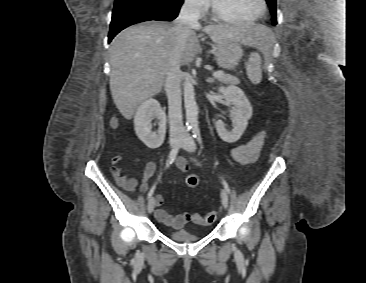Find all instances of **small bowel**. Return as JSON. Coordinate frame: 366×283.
Returning a JSON list of instances; mask_svg holds the SVG:
<instances>
[{"instance_id": "c3829d8e", "label": "small bowel", "mask_w": 366, "mask_h": 283, "mask_svg": "<svg viewBox=\"0 0 366 283\" xmlns=\"http://www.w3.org/2000/svg\"><path fill=\"white\" fill-rule=\"evenodd\" d=\"M264 141V133H257L252 139L244 144H240L234 147L230 156L231 159L239 165H249L254 163L260 153ZM122 157L120 155H116L112 158L113 166L111 167V174L114 177L117 184L127 192H132L136 188L138 184V179L133 176H129L127 174H122L121 168L118 166V163L121 161ZM138 161V159H136ZM192 162H197L195 159H191ZM177 168L181 171H186L189 166V160L184 157H178L175 161ZM156 171V164L153 161H149L145 164L142 175L143 180L140 185V189L142 191H146L148 189V180L152 178ZM164 203V199L162 196H157L156 198V206L158 207L155 211V216L158 221L162 222L168 227H172L174 229H179L188 220L186 214L172 215L166 209L161 208Z\"/></svg>"}]
</instances>
